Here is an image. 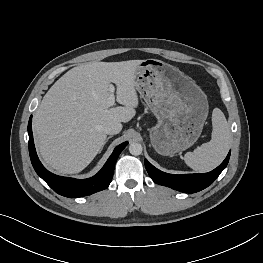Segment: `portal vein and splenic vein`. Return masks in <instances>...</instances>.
<instances>
[{
	"mask_svg": "<svg viewBox=\"0 0 263 263\" xmlns=\"http://www.w3.org/2000/svg\"><path fill=\"white\" fill-rule=\"evenodd\" d=\"M109 90H110V96L107 99V106L111 107L115 104V95H114L115 87L111 84Z\"/></svg>",
	"mask_w": 263,
	"mask_h": 263,
	"instance_id": "obj_1",
	"label": "portal vein and splenic vein"
}]
</instances>
